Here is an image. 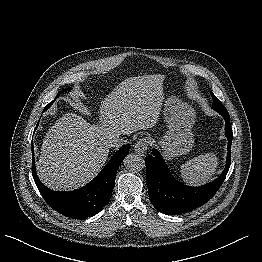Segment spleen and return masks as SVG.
<instances>
[{"mask_svg":"<svg viewBox=\"0 0 262 262\" xmlns=\"http://www.w3.org/2000/svg\"><path fill=\"white\" fill-rule=\"evenodd\" d=\"M218 158L214 153L199 155L181 166L182 179L188 184H202L215 174Z\"/></svg>","mask_w":262,"mask_h":262,"instance_id":"1","label":"spleen"}]
</instances>
